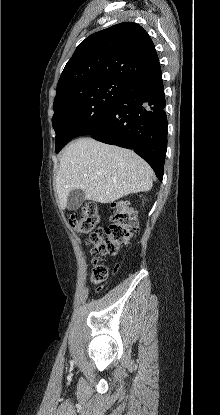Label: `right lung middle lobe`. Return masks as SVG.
<instances>
[{"mask_svg":"<svg viewBox=\"0 0 220 415\" xmlns=\"http://www.w3.org/2000/svg\"><path fill=\"white\" fill-rule=\"evenodd\" d=\"M130 87V83L122 80L104 79L74 84L57 93L52 120L56 153L72 138L97 131L107 113Z\"/></svg>","mask_w":220,"mask_h":415,"instance_id":"1","label":"right lung middle lobe"}]
</instances>
